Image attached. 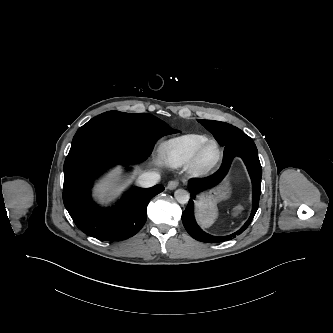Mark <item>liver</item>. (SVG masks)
<instances>
[{
	"mask_svg": "<svg viewBox=\"0 0 333 333\" xmlns=\"http://www.w3.org/2000/svg\"><path fill=\"white\" fill-rule=\"evenodd\" d=\"M139 172V170H138ZM125 186L122 187H112L110 181H104L102 183H100L97 188H96V192L99 194V196H103L107 191H112L114 193H119L120 191H122V189Z\"/></svg>",
	"mask_w": 333,
	"mask_h": 333,
	"instance_id": "liver-1",
	"label": "liver"
}]
</instances>
